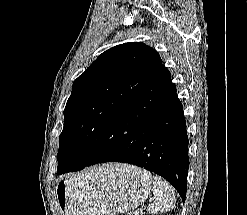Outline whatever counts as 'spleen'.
<instances>
[{"mask_svg": "<svg viewBox=\"0 0 247 215\" xmlns=\"http://www.w3.org/2000/svg\"><path fill=\"white\" fill-rule=\"evenodd\" d=\"M153 194L156 198L155 203L149 204L147 210L152 214L158 212H170L176 202L175 192L172 186L159 176H155L153 181Z\"/></svg>", "mask_w": 247, "mask_h": 215, "instance_id": "1", "label": "spleen"}]
</instances>
